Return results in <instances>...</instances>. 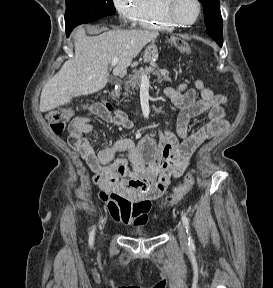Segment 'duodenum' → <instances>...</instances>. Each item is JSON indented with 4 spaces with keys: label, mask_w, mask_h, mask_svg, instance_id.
Here are the masks:
<instances>
[{
    "label": "duodenum",
    "mask_w": 273,
    "mask_h": 288,
    "mask_svg": "<svg viewBox=\"0 0 273 288\" xmlns=\"http://www.w3.org/2000/svg\"><path fill=\"white\" fill-rule=\"evenodd\" d=\"M111 95L114 96V97L117 96V95H118V90L115 89V88L112 89V91H111Z\"/></svg>",
    "instance_id": "1"
}]
</instances>
